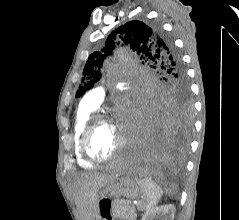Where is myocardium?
Returning <instances> with one entry per match:
<instances>
[{
    "instance_id": "1",
    "label": "myocardium",
    "mask_w": 239,
    "mask_h": 220,
    "mask_svg": "<svg viewBox=\"0 0 239 220\" xmlns=\"http://www.w3.org/2000/svg\"><path fill=\"white\" fill-rule=\"evenodd\" d=\"M102 122H112V119L108 115L100 113L91 115L81 134L80 145L82 154L92 163H103L114 159L125 145V140L121 135L116 148L109 155L104 157L94 155L90 149V139L95 127Z\"/></svg>"
}]
</instances>
